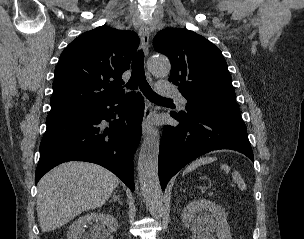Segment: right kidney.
Returning <instances> with one entry per match:
<instances>
[{"mask_svg": "<svg viewBox=\"0 0 304 239\" xmlns=\"http://www.w3.org/2000/svg\"><path fill=\"white\" fill-rule=\"evenodd\" d=\"M90 224V233L84 227ZM118 228L117 220L110 214L92 212L79 217L69 229L67 239H106L108 234Z\"/></svg>", "mask_w": 304, "mask_h": 239, "instance_id": "obj_1", "label": "right kidney"}]
</instances>
